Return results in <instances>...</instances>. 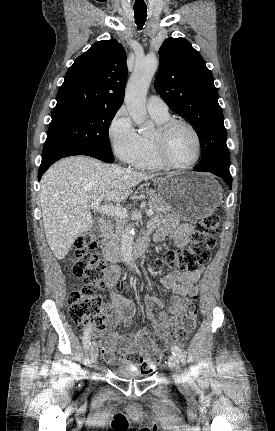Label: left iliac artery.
<instances>
[{
  "mask_svg": "<svg viewBox=\"0 0 275 431\" xmlns=\"http://www.w3.org/2000/svg\"><path fill=\"white\" fill-rule=\"evenodd\" d=\"M172 354L177 357L182 363L185 362V355L183 350L178 346L171 347Z\"/></svg>",
  "mask_w": 275,
  "mask_h": 431,
  "instance_id": "left-iliac-artery-1",
  "label": "left iliac artery"
}]
</instances>
